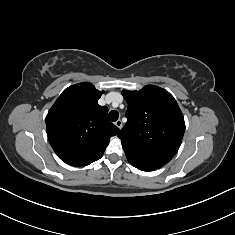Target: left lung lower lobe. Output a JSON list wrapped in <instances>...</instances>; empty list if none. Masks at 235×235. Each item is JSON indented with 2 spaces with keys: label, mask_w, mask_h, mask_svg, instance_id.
Instances as JSON below:
<instances>
[{
  "label": "left lung lower lobe",
  "mask_w": 235,
  "mask_h": 235,
  "mask_svg": "<svg viewBox=\"0 0 235 235\" xmlns=\"http://www.w3.org/2000/svg\"><path fill=\"white\" fill-rule=\"evenodd\" d=\"M132 164V163H131ZM134 167L142 170V171H153L155 170L154 168H150V167H146V166H142V165H137V164H132Z\"/></svg>",
  "instance_id": "obj_1"
}]
</instances>
